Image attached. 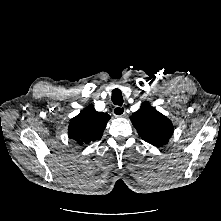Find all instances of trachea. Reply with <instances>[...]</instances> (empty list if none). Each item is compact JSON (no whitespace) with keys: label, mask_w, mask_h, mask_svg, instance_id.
Wrapping results in <instances>:
<instances>
[{"label":"trachea","mask_w":221,"mask_h":221,"mask_svg":"<svg viewBox=\"0 0 221 221\" xmlns=\"http://www.w3.org/2000/svg\"><path fill=\"white\" fill-rule=\"evenodd\" d=\"M114 105L121 106L123 104V96L119 89H114L111 96Z\"/></svg>","instance_id":"1"}]
</instances>
